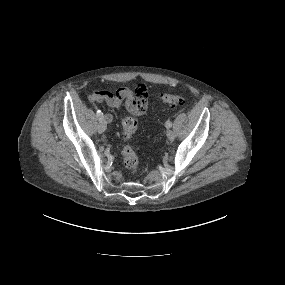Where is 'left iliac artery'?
<instances>
[{
	"instance_id": "left-iliac-artery-1",
	"label": "left iliac artery",
	"mask_w": 285,
	"mask_h": 285,
	"mask_svg": "<svg viewBox=\"0 0 285 285\" xmlns=\"http://www.w3.org/2000/svg\"><path fill=\"white\" fill-rule=\"evenodd\" d=\"M166 128H170L172 126V123L170 121H167L165 123Z\"/></svg>"
}]
</instances>
